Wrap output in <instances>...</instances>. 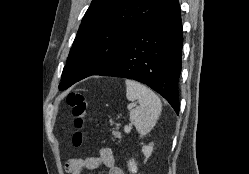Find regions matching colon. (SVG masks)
I'll use <instances>...</instances> for the list:
<instances>
[{
    "label": "colon",
    "instance_id": "1",
    "mask_svg": "<svg viewBox=\"0 0 249 174\" xmlns=\"http://www.w3.org/2000/svg\"><path fill=\"white\" fill-rule=\"evenodd\" d=\"M66 104L71 108L74 118L75 132L73 134V145L80 147L83 145L85 134V120L87 112V101L83 93L78 91L70 92L66 97Z\"/></svg>",
    "mask_w": 249,
    "mask_h": 174
}]
</instances>
